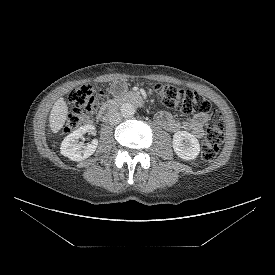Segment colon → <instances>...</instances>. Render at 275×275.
I'll list each match as a JSON object with an SVG mask.
<instances>
[{"instance_id":"colon-1","label":"colon","mask_w":275,"mask_h":275,"mask_svg":"<svg viewBox=\"0 0 275 275\" xmlns=\"http://www.w3.org/2000/svg\"><path fill=\"white\" fill-rule=\"evenodd\" d=\"M154 93L168 108L178 109L185 114L210 113L201 154L204 160H213L224 139V123L220 113L215 110L211 111L210 103L196 91L156 84ZM103 99L104 93L96 91L92 85H85L74 90L70 94L73 109L68 115L63 132L68 133L93 122Z\"/></svg>"}]
</instances>
